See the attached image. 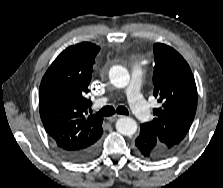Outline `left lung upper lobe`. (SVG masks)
Wrapping results in <instances>:
<instances>
[{
    "label": "left lung upper lobe",
    "instance_id": "obj_1",
    "mask_svg": "<svg viewBox=\"0 0 223 188\" xmlns=\"http://www.w3.org/2000/svg\"><path fill=\"white\" fill-rule=\"evenodd\" d=\"M155 67L153 95L160 103L155 118L142 124L169 154L183 140L197 108V88L191 69L184 58L168 45H154Z\"/></svg>",
    "mask_w": 223,
    "mask_h": 188
}]
</instances>
